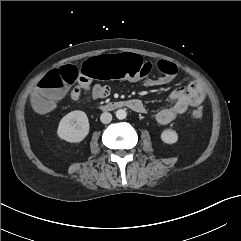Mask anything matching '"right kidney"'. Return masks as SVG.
<instances>
[{"mask_svg":"<svg viewBox=\"0 0 241 241\" xmlns=\"http://www.w3.org/2000/svg\"><path fill=\"white\" fill-rule=\"evenodd\" d=\"M89 127L87 115L83 111L75 110L61 119L57 135L69 143H79L88 135Z\"/></svg>","mask_w":241,"mask_h":241,"instance_id":"ca27d5eb","label":"right kidney"}]
</instances>
